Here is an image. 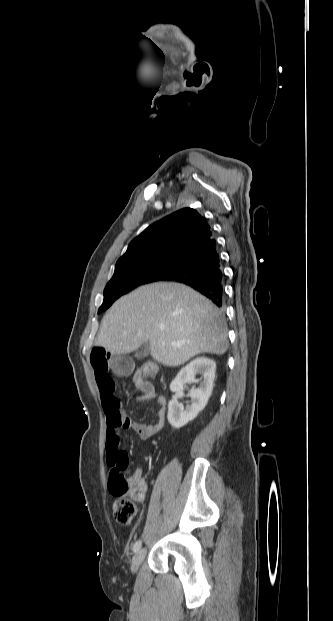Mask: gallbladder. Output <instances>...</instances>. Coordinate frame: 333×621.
<instances>
[{"mask_svg":"<svg viewBox=\"0 0 333 621\" xmlns=\"http://www.w3.org/2000/svg\"><path fill=\"white\" fill-rule=\"evenodd\" d=\"M150 353V343L144 342L137 350H136V354L135 356L138 359H143L145 357H147Z\"/></svg>","mask_w":333,"mask_h":621,"instance_id":"bac80fb5","label":"gallbladder"}]
</instances>
